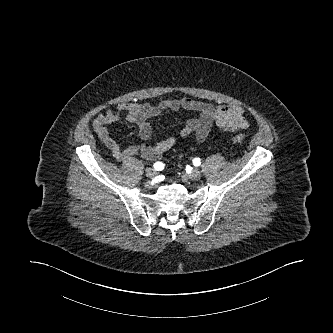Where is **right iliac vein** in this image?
Segmentation results:
<instances>
[{"mask_svg": "<svg viewBox=\"0 0 333 333\" xmlns=\"http://www.w3.org/2000/svg\"><path fill=\"white\" fill-rule=\"evenodd\" d=\"M145 174H146L147 177H149V178H153V177L156 175V172H155V170L152 169V168H147V169L145 170Z\"/></svg>", "mask_w": 333, "mask_h": 333, "instance_id": "obj_1", "label": "right iliac vein"}]
</instances>
